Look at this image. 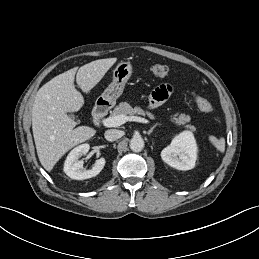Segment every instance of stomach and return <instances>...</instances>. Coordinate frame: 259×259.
<instances>
[{
    "mask_svg": "<svg viewBox=\"0 0 259 259\" xmlns=\"http://www.w3.org/2000/svg\"><path fill=\"white\" fill-rule=\"evenodd\" d=\"M132 65L129 61L120 62L113 71V80L96 100V106L112 107L122 95L124 87L131 77Z\"/></svg>",
    "mask_w": 259,
    "mask_h": 259,
    "instance_id": "0dacf381",
    "label": "stomach"
}]
</instances>
